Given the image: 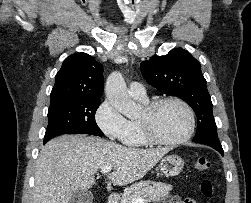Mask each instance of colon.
<instances>
[{
	"mask_svg": "<svg viewBox=\"0 0 251 203\" xmlns=\"http://www.w3.org/2000/svg\"><path fill=\"white\" fill-rule=\"evenodd\" d=\"M196 168L199 171H207L211 168V163L210 161L205 158V157H199L196 159ZM200 189H201V193L208 198H211L214 192V186L213 183L208 180L205 179L201 182L200 185Z\"/></svg>",
	"mask_w": 251,
	"mask_h": 203,
	"instance_id": "1",
	"label": "colon"
}]
</instances>
